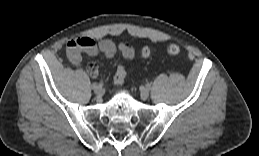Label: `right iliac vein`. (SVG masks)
<instances>
[{
    "label": "right iliac vein",
    "instance_id": "1",
    "mask_svg": "<svg viewBox=\"0 0 259 156\" xmlns=\"http://www.w3.org/2000/svg\"><path fill=\"white\" fill-rule=\"evenodd\" d=\"M93 91L95 94H101L103 89L100 85H97L95 88H93Z\"/></svg>",
    "mask_w": 259,
    "mask_h": 156
}]
</instances>
